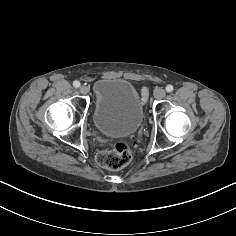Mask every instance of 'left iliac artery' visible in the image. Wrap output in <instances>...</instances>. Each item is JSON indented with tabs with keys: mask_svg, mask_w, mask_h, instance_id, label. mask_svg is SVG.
Wrapping results in <instances>:
<instances>
[{
	"mask_svg": "<svg viewBox=\"0 0 236 236\" xmlns=\"http://www.w3.org/2000/svg\"><path fill=\"white\" fill-rule=\"evenodd\" d=\"M173 89H174V88H173L172 85H167V86H166V91H167V92H172Z\"/></svg>",
	"mask_w": 236,
	"mask_h": 236,
	"instance_id": "obj_1",
	"label": "left iliac artery"
}]
</instances>
